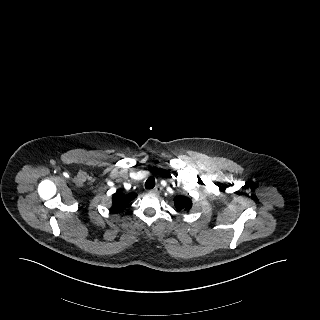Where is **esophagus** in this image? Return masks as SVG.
<instances>
[{"label":"esophagus","mask_w":320,"mask_h":320,"mask_svg":"<svg viewBox=\"0 0 320 320\" xmlns=\"http://www.w3.org/2000/svg\"><path fill=\"white\" fill-rule=\"evenodd\" d=\"M161 191V187L156 185L153 189L150 190L151 193L158 194Z\"/></svg>","instance_id":"34e87169"}]
</instances>
